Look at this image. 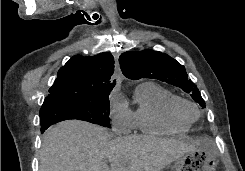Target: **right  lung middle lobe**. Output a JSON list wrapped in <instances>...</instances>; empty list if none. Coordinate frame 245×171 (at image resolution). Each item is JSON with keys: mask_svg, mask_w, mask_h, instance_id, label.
<instances>
[{"mask_svg": "<svg viewBox=\"0 0 245 171\" xmlns=\"http://www.w3.org/2000/svg\"><path fill=\"white\" fill-rule=\"evenodd\" d=\"M78 119L110 128L109 95L92 99H63L43 103L40 109V124Z\"/></svg>", "mask_w": 245, "mask_h": 171, "instance_id": "right-lung-middle-lobe-1", "label": "right lung middle lobe"}]
</instances>
